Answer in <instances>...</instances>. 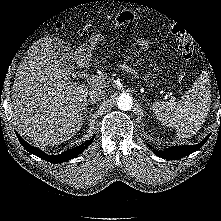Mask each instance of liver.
Here are the masks:
<instances>
[{
	"label": "liver",
	"mask_w": 221,
	"mask_h": 221,
	"mask_svg": "<svg viewBox=\"0 0 221 221\" xmlns=\"http://www.w3.org/2000/svg\"><path fill=\"white\" fill-rule=\"evenodd\" d=\"M51 39L39 40L17 69L12 87L13 119L34 142L58 145L81 128L89 87L69 80Z\"/></svg>",
	"instance_id": "1"
}]
</instances>
